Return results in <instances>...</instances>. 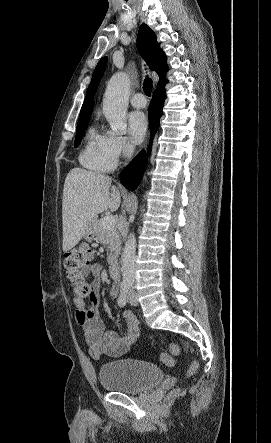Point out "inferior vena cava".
I'll use <instances>...</instances> for the list:
<instances>
[{"label": "inferior vena cava", "instance_id": "inferior-vena-cava-1", "mask_svg": "<svg viewBox=\"0 0 271 443\" xmlns=\"http://www.w3.org/2000/svg\"><path fill=\"white\" fill-rule=\"evenodd\" d=\"M134 150H135V146H133V144H130V142H127V144H124L123 146V154L124 156H126V158H132V154H134ZM120 231H121V235H123V237H126L127 235V231H128V227L127 225H122V227H120ZM132 290H127L126 296H131Z\"/></svg>", "mask_w": 271, "mask_h": 443}]
</instances>
